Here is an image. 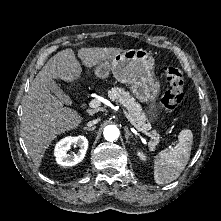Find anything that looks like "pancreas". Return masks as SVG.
<instances>
[{"instance_id": "pancreas-1", "label": "pancreas", "mask_w": 221, "mask_h": 221, "mask_svg": "<svg viewBox=\"0 0 221 221\" xmlns=\"http://www.w3.org/2000/svg\"><path fill=\"white\" fill-rule=\"evenodd\" d=\"M108 97L112 101L120 102L128 111V114L132 117L135 124L138 125L145 131L151 129L149 122L146 123V114L142 111L141 105L136 101V99L125 89L119 87H113L108 91ZM153 136L157 135V132L152 131ZM153 145V144H152Z\"/></svg>"}]
</instances>
